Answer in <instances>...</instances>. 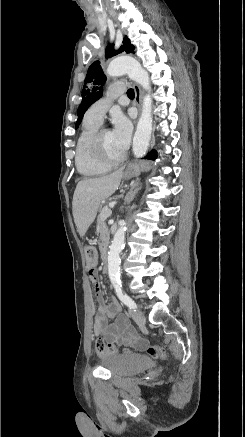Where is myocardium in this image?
Listing matches in <instances>:
<instances>
[{
  "label": "myocardium",
  "instance_id": "obj_1",
  "mask_svg": "<svg viewBox=\"0 0 245 437\" xmlns=\"http://www.w3.org/2000/svg\"><path fill=\"white\" fill-rule=\"evenodd\" d=\"M104 130L106 129L100 128L93 134L90 140L91 152L100 162L108 165H116L124 160L125 154L123 153L121 156L113 158L105 152L102 144V134Z\"/></svg>",
  "mask_w": 245,
  "mask_h": 437
}]
</instances>
